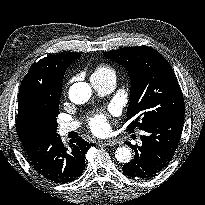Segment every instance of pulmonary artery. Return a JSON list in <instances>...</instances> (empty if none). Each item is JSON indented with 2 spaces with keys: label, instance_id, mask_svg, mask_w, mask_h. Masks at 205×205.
Segmentation results:
<instances>
[{
  "label": "pulmonary artery",
  "instance_id": "e3ab8cb5",
  "mask_svg": "<svg viewBox=\"0 0 205 205\" xmlns=\"http://www.w3.org/2000/svg\"><path fill=\"white\" fill-rule=\"evenodd\" d=\"M91 83L100 95H106L114 90L116 86V76L94 77L91 78ZM78 126V122H64L60 124L59 132L61 135H65L70 131L76 130Z\"/></svg>",
  "mask_w": 205,
  "mask_h": 205
}]
</instances>
